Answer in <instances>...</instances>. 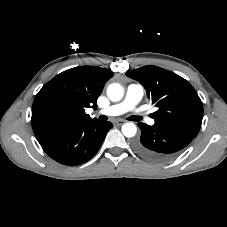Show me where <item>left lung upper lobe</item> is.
<instances>
[{"label":"left lung upper lobe","mask_w":227,"mask_h":227,"mask_svg":"<svg viewBox=\"0 0 227 227\" xmlns=\"http://www.w3.org/2000/svg\"><path fill=\"white\" fill-rule=\"evenodd\" d=\"M126 75L140 82L152 104L158 107L154 113L155 125L197 136L203 118V105L187 80L153 65L128 71Z\"/></svg>","instance_id":"obj_1"}]
</instances>
